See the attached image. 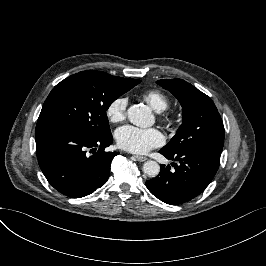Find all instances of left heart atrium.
Returning <instances> with one entry per match:
<instances>
[{
  "mask_svg": "<svg viewBox=\"0 0 266 266\" xmlns=\"http://www.w3.org/2000/svg\"><path fill=\"white\" fill-rule=\"evenodd\" d=\"M115 138L121 148L133 153H144L162 145L165 141V137L159 129L134 125L119 127L115 132Z\"/></svg>",
  "mask_w": 266,
  "mask_h": 266,
  "instance_id": "1",
  "label": "left heart atrium"
}]
</instances>
